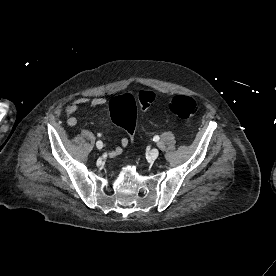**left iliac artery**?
Segmentation results:
<instances>
[{
    "mask_svg": "<svg viewBox=\"0 0 276 276\" xmlns=\"http://www.w3.org/2000/svg\"><path fill=\"white\" fill-rule=\"evenodd\" d=\"M159 139H160L159 136L156 135V136H154L153 141L157 142V141H159Z\"/></svg>",
    "mask_w": 276,
    "mask_h": 276,
    "instance_id": "obj_1",
    "label": "left iliac artery"
}]
</instances>
